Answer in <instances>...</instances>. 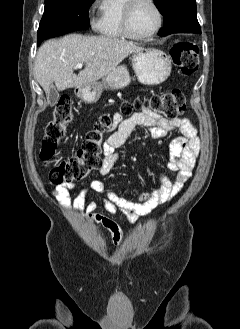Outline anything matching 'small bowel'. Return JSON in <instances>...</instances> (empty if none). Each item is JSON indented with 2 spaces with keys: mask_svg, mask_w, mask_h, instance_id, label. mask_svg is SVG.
Here are the masks:
<instances>
[{
  "mask_svg": "<svg viewBox=\"0 0 240 329\" xmlns=\"http://www.w3.org/2000/svg\"><path fill=\"white\" fill-rule=\"evenodd\" d=\"M139 127L145 128L154 139L163 138L174 130L180 132L181 136L170 143L171 156L167 163L168 170L175 172L174 177L156 169L160 184L150 192L140 195L138 199L122 197L100 180L92 181L87 188H81L73 183L61 184L56 188L57 197L65 206L84 211L88 219L106 228L111 234L112 243L117 247L124 241L123 232L117 220H126L130 224H135L140 216L149 214L156 206L173 199L191 177L200 149L197 129L187 118L170 120L149 109H142L127 118L116 113L102 146L103 159L98 168L100 175H107L111 171L121 158L118 149ZM74 190L78 193L72 199L70 192ZM89 190L105 195L103 205L109 215L96 212L98 207L96 201H86Z\"/></svg>",
  "mask_w": 240,
  "mask_h": 329,
  "instance_id": "c3829d8e",
  "label": "small bowel"
}]
</instances>
